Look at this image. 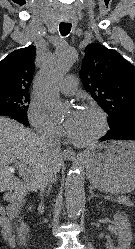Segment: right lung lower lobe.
Instances as JSON below:
<instances>
[{
  "mask_svg": "<svg viewBox=\"0 0 135 249\" xmlns=\"http://www.w3.org/2000/svg\"><path fill=\"white\" fill-rule=\"evenodd\" d=\"M8 116L11 117L12 119H15L17 121H19L20 123L24 124L25 126L29 125V122L26 118V116H23L11 109L8 108H0V116Z\"/></svg>",
  "mask_w": 135,
  "mask_h": 249,
  "instance_id": "obj_1",
  "label": "right lung lower lobe"
}]
</instances>
